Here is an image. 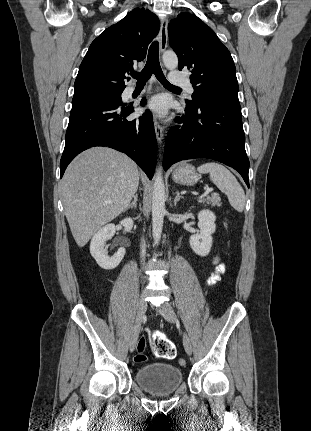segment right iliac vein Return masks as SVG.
Here are the masks:
<instances>
[{"label":"right iliac vein","instance_id":"1","mask_svg":"<svg viewBox=\"0 0 311 431\" xmlns=\"http://www.w3.org/2000/svg\"><path fill=\"white\" fill-rule=\"evenodd\" d=\"M147 310V303L144 299V297H141L137 303V316H136V321H135V325L132 329L131 332V336H130V341H129V348L130 351H134L136 344H137V340H138V336H139V331H140V326H141V322L142 319L144 317V314Z\"/></svg>","mask_w":311,"mask_h":431}]
</instances>
